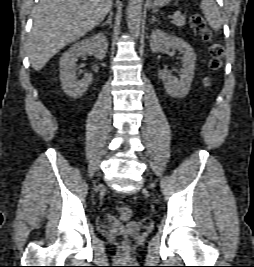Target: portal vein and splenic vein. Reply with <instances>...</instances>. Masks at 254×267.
Wrapping results in <instances>:
<instances>
[{"mask_svg": "<svg viewBox=\"0 0 254 267\" xmlns=\"http://www.w3.org/2000/svg\"><path fill=\"white\" fill-rule=\"evenodd\" d=\"M179 15H180V11H176L173 13V15L171 17L174 18V17H177Z\"/></svg>", "mask_w": 254, "mask_h": 267, "instance_id": "18ae733b", "label": "portal vein and splenic vein"}]
</instances>
